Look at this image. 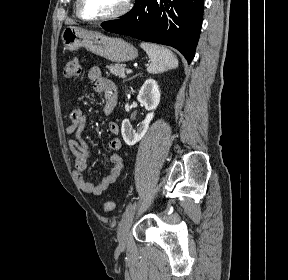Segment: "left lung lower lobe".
<instances>
[{"label":"left lung lower lobe","instance_id":"1","mask_svg":"<svg viewBox=\"0 0 288 280\" xmlns=\"http://www.w3.org/2000/svg\"><path fill=\"white\" fill-rule=\"evenodd\" d=\"M204 0H137L123 18L105 22L108 31L179 50L188 63L202 26Z\"/></svg>","mask_w":288,"mask_h":280}]
</instances>
